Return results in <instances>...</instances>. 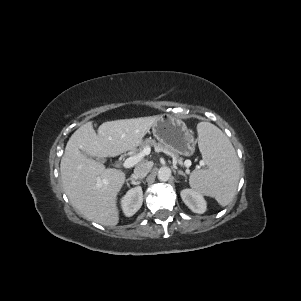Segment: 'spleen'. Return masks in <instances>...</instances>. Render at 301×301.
Returning <instances> with one entry per match:
<instances>
[{
  "label": "spleen",
  "mask_w": 301,
  "mask_h": 301,
  "mask_svg": "<svg viewBox=\"0 0 301 301\" xmlns=\"http://www.w3.org/2000/svg\"><path fill=\"white\" fill-rule=\"evenodd\" d=\"M199 148L208 169L194 170L189 178L191 188L213 197L221 206L234 198L239 182L240 164L226 135L209 122L198 124Z\"/></svg>",
  "instance_id": "spleen-1"
}]
</instances>
